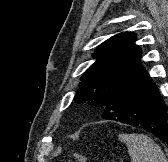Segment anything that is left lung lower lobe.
Listing matches in <instances>:
<instances>
[{"instance_id":"0a47b994","label":"left lung lower lobe","mask_w":168,"mask_h":162,"mask_svg":"<svg viewBox=\"0 0 168 162\" xmlns=\"http://www.w3.org/2000/svg\"><path fill=\"white\" fill-rule=\"evenodd\" d=\"M167 105L142 67L109 97L102 118L138 126L168 144Z\"/></svg>"}]
</instances>
